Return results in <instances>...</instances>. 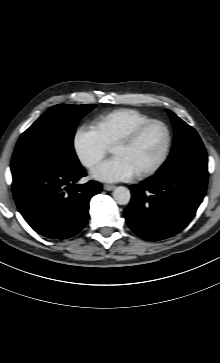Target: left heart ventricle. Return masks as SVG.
Returning a JSON list of instances; mask_svg holds the SVG:
<instances>
[{
  "mask_svg": "<svg viewBox=\"0 0 220 363\" xmlns=\"http://www.w3.org/2000/svg\"><path fill=\"white\" fill-rule=\"evenodd\" d=\"M165 141L166 135L163 128L153 125L146 129L134 143L113 147L112 153L125 158L135 172L139 173L157 162Z\"/></svg>",
  "mask_w": 220,
  "mask_h": 363,
  "instance_id": "1",
  "label": "left heart ventricle"
}]
</instances>
